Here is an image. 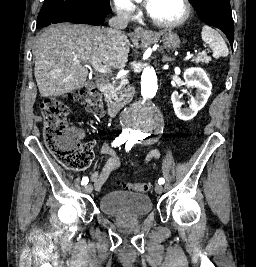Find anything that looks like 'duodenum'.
Segmentation results:
<instances>
[{
    "mask_svg": "<svg viewBox=\"0 0 256 267\" xmlns=\"http://www.w3.org/2000/svg\"><path fill=\"white\" fill-rule=\"evenodd\" d=\"M98 90L105 92L109 87V79L107 77H99L95 81ZM127 99L111 100L105 110V115L108 117L116 116L126 106Z\"/></svg>",
    "mask_w": 256,
    "mask_h": 267,
    "instance_id": "duodenum-1",
    "label": "duodenum"
}]
</instances>
